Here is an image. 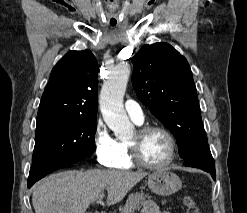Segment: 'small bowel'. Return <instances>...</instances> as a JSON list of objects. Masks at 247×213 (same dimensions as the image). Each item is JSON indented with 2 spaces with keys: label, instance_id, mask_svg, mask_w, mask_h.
Segmentation results:
<instances>
[{
  "label": "small bowel",
  "instance_id": "c3829d8e",
  "mask_svg": "<svg viewBox=\"0 0 247 213\" xmlns=\"http://www.w3.org/2000/svg\"><path fill=\"white\" fill-rule=\"evenodd\" d=\"M141 213H171L168 211L161 212L154 201L148 200L144 203Z\"/></svg>",
  "mask_w": 247,
  "mask_h": 213
}]
</instances>
